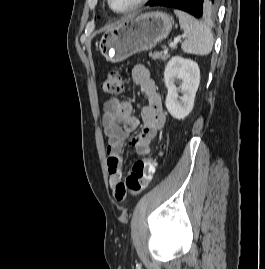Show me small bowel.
Wrapping results in <instances>:
<instances>
[{"mask_svg":"<svg viewBox=\"0 0 265 269\" xmlns=\"http://www.w3.org/2000/svg\"><path fill=\"white\" fill-rule=\"evenodd\" d=\"M133 80L146 98L141 119L142 132L131 139L130 144L140 156L150 153V146L163 129L166 117L162 99L149 70L144 65H136L132 71ZM139 121L133 115L132 104L117 97H109L103 106L102 125L107 139V169L109 184L117 198V188L123 187L121 152L125 139L138 127ZM118 199V198H117Z\"/></svg>","mask_w":265,"mask_h":269,"instance_id":"small-bowel-1","label":"small bowel"}]
</instances>
